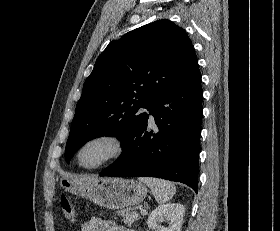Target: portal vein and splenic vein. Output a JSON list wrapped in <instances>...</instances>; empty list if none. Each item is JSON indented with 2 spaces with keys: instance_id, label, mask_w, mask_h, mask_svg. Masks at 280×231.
I'll return each mask as SVG.
<instances>
[{
  "instance_id": "1",
  "label": "portal vein and splenic vein",
  "mask_w": 280,
  "mask_h": 231,
  "mask_svg": "<svg viewBox=\"0 0 280 231\" xmlns=\"http://www.w3.org/2000/svg\"><path fill=\"white\" fill-rule=\"evenodd\" d=\"M142 215H147L148 211L147 209H140Z\"/></svg>"
}]
</instances>
